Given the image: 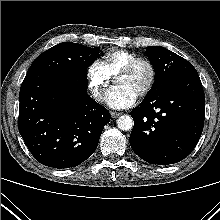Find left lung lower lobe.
Returning a JSON list of instances; mask_svg holds the SVG:
<instances>
[{"instance_id": "1", "label": "left lung lower lobe", "mask_w": 220, "mask_h": 220, "mask_svg": "<svg viewBox=\"0 0 220 220\" xmlns=\"http://www.w3.org/2000/svg\"><path fill=\"white\" fill-rule=\"evenodd\" d=\"M133 151L151 164H174L187 157L202 134L205 98L197 72L179 76L146 96L130 112Z\"/></svg>"}]
</instances>
